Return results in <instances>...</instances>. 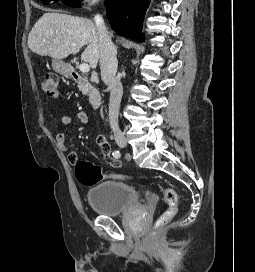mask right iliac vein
Masks as SVG:
<instances>
[{
  "label": "right iliac vein",
  "instance_id": "obj_1",
  "mask_svg": "<svg viewBox=\"0 0 255 272\" xmlns=\"http://www.w3.org/2000/svg\"><path fill=\"white\" fill-rule=\"evenodd\" d=\"M115 141L119 147H125L127 145V140L122 133H118L115 135Z\"/></svg>",
  "mask_w": 255,
  "mask_h": 272
}]
</instances>
